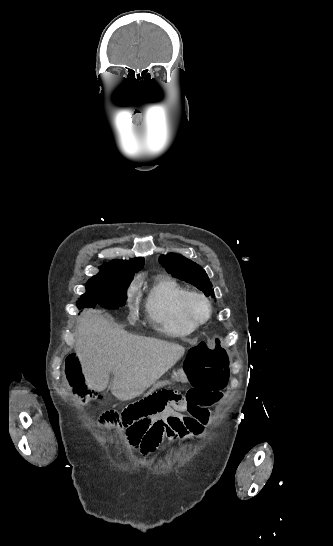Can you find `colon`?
I'll return each mask as SVG.
<instances>
[{"instance_id": "5ec220e1", "label": "colon", "mask_w": 333, "mask_h": 546, "mask_svg": "<svg viewBox=\"0 0 333 546\" xmlns=\"http://www.w3.org/2000/svg\"><path fill=\"white\" fill-rule=\"evenodd\" d=\"M228 364V354L219 340L202 341L192 347L188 353L185 370L189 372L188 379L194 388L187 393L186 402H203L202 393L223 389L229 380ZM65 373L74 391L83 401H86L94 387L81 379L79 355L67 357ZM182 404L183 400L177 393L158 390L146 396H139L137 400H128L121 413L113 410L106 411L102 414L100 422L108 427L124 428L129 418H134L135 422H146L147 418H155L168 405Z\"/></svg>"}]
</instances>
